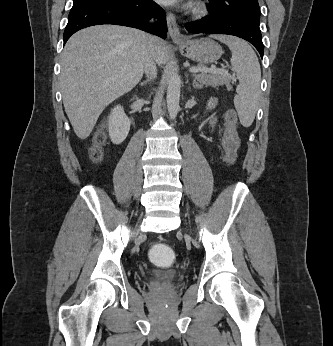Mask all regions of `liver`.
<instances>
[{
    "label": "liver",
    "instance_id": "liver-1",
    "mask_svg": "<svg viewBox=\"0 0 333 346\" xmlns=\"http://www.w3.org/2000/svg\"><path fill=\"white\" fill-rule=\"evenodd\" d=\"M150 37L128 27L98 25L68 40L60 83L66 114L80 139L90 135L105 107L138 84L150 47L159 65L167 62L165 43Z\"/></svg>",
    "mask_w": 333,
    "mask_h": 346
}]
</instances>
